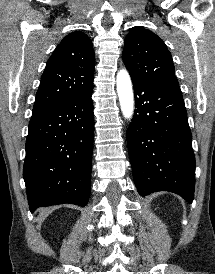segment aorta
<instances>
[{
    "label": "aorta",
    "instance_id": "762f6f07",
    "mask_svg": "<svg viewBox=\"0 0 215 274\" xmlns=\"http://www.w3.org/2000/svg\"><path fill=\"white\" fill-rule=\"evenodd\" d=\"M116 82L121 111L125 118L130 119L134 112V96L128 72L124 69L120 70Z\"/></svg>",
    "mask_w": 215,
    "mask_h": 274
}]
</instances>
